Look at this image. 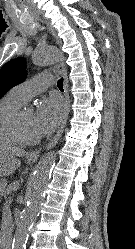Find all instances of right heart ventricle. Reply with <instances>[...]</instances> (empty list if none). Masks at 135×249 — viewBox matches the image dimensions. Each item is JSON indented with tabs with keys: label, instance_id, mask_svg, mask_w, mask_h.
Wrapping results in <instances>:
<instances>
[{
	"label": "right heart ventricle",
	"instance_id": "1",
	"mask_svg": "<svg viewBox=\"0 0 135 249\" xmlns=\"http://www.w3.org/2000/svg\"><path fill=\"white\" fill-rule=\"evenodd\" d=\"M24 104L12 91L0 100V145H18L19 140L8 126L9 116Z\"/></svg>",
	"mask_w": 135,
	"mask_h": 249
}]
</instances>
